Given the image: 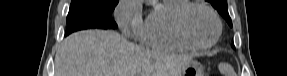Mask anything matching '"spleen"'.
Instances as JSON below:
<instances>
[{"instance_id": "spleen-1", "label": "spleen", "mask_w": 287, "mask_h": 76, "mask_svg": "<svg viewBox=\"0 0 287 76\" xmlns=\"http://www.w3.org/2000/svg\"><path fill=\"white\" fill-rule=\"evenodd\" d=\"M219 70L225 76H234L235 74L233 68L230 65L225 64V63L219 64Z\"/></svg>"}]
</instances>
